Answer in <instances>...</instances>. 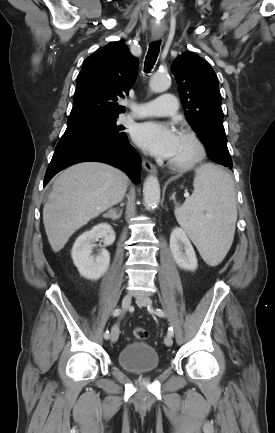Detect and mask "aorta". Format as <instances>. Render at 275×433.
I'll return each mask as SVG.
<instances>
[{
	"mask_svg": "<svg viewBox=\"0 0 275 433\" xmlns=\"http://www.w3.org/2000/svg\"><path fill=\"white\" fill-rule=\"evenodd\" d=\"M171 85L170 77L166 74H154L150 79L149 87L153 92H164ZM143 196L145 206L154 209L160 202V185L157 177L148 176L143 184Z\"/></svg>",
	"mask_w": 275,
	"mask_h": 433,
	"instance_id": "762f6f07",
	"label": "aorta"
}]
</instances>
